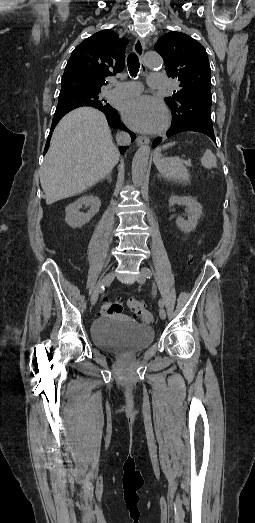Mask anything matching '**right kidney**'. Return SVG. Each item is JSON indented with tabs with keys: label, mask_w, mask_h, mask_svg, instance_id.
Returning <instances> with one entry per match:
<instances>
[{
	"label": "right kidney",
	"mask_w": 255,
	"mask_h": 523,
	"mask_svg": "<svg viewBox=\"0 0 255 523\" xmlns=\"http://www.w3.org/2000/svg\"><path fill=\"white\" fill-rule=\"evenodd\" d=\"M84 204L90 206V210H88L87 214H82V212H79L80 208H82ZM100 206L101 200H99L97 196H82V198H79V200H76V202H73V204L66 206L65 222L68 224V226H71V228H79V226H84V224H87V222L93 218L94 214L99 212Z\"/></svg>",
	"instance_id": "ca27d5eb"
}]
</instances>
